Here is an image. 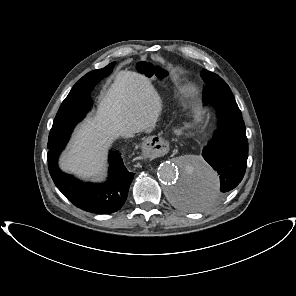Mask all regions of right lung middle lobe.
<instances>
[{
	"label": "right lung middle lobe",
	"instance_id": "dd1d6c3e",
	"mask_svg": "<svg viewBox=\"0 0 296 296\" xmlns=\"http://www.w3.org/2000/svg\"><path fill=\"white\" fill-rule=\"evenodd\" d=\"M114 64L115 62H112L102 69L87 73L74 85L54 119L49 134L48 148L57 145L61 141H68L75 125L85 117V114L92 106L91 90L101 79L112 72ZM95 80V85H85L86 82Z\"/></svg>",
	"mask_w": 296,
	"mask_h": 296
}]
</instances>
